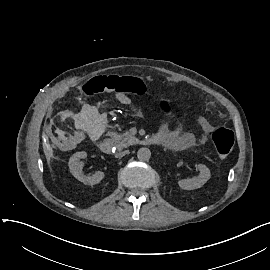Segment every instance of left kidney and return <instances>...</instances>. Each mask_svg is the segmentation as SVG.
Wrapping results in <instances>:
<instances>
[{
    "label": "left kidney",
    "mask_w": 270,
    "mask_h": 270,
    "mask_svg": "<svg viewBox=\"0 0 270 270\" xmlns=\"http://www.w3.org/2000/svg\"><path fill=\"white\" fill-rule=\"evenodd\" d=\"M199 173L197 177L189 180L179 181V186L184 190H195L202 187L210 179V171L206 165L198 164Z\"/></svg>",
    "instance_id": "left-kidney-1"
}]
</instances>
